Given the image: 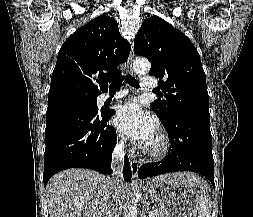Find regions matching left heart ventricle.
Instances as JSON below:
<instances>
[{"mask_svg": "<svg viewBox=\"0 0 253 217\" xmlns=\"http://www.w3.org/2000/svg\"><path fill=\"white\" fill-rule=\"evenodd\" d=\"M155 142H156V134L153 136V138L147 144L153 145V144H155Z\"/></svg>", "mask_w": 253, "mask_h": 217, "instance_id": "left-heart-ventricle-1", "label": "left heart ventricle"}]
</instances>
